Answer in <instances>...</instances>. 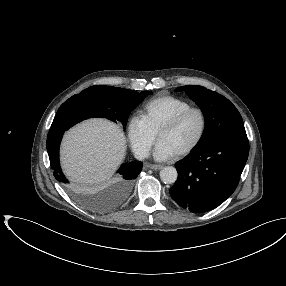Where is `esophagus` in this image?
Here are the masks:
<instances>
[{
	"instance_id": "esophagus-1",
	"label": "esophagus",
	"mask_w": 286,
	"mask_h": 286,
	"mask_svg": "<svg viewBox=\"0 0 286 286\" xmlns=\"http://www.w3.org/2000/svg\"><path fill=\"white\" fill-rule=\"evenodd\" d=\"M149 167H150L151 169H153V170H160V169L163 168L162 165H158V164H150Z\"/></svg>"
}]
</instances>
